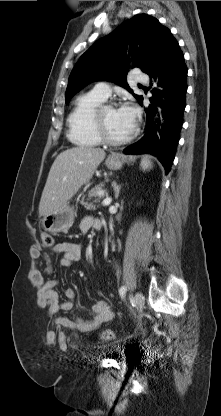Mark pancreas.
Segmentation results:
<instances>
[{"mask_svg": "<svg viewBox=\"0 0 221 416\" xmlns=\"http://www.w3.org/2000/svg\"><path fill=\"white\" fill-rule=\"evenodd\" d=\"M100 192H103L102 190V185H97L94 188H92L89 192H88V200H91L93 197L95 198L94 202L97 203L99 202L101 199H103L105 197L106 194L102 193L99 194ZM84 207L87 210H95L96 209V205L93 203H88V202H81Z\"/></svg>", "mask_w": 221, "mask_h": 416, "instance_id": "pancreas-1", "label": "pancreas"}]
</instances>
